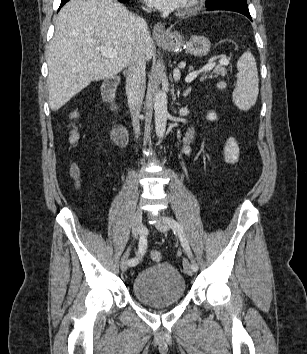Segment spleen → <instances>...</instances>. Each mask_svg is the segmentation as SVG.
<instances>
[{
  "mask_svg": "<svg viewBox=\"0 0 307 354\" xmlns=\"http://www.w3.org/2000/svg\"><path fill=\"white\" fill-rule=\"evenodd\" d=\"M237 70V82L232 99L240 110L247 111L255 105L259 93L256 61L249 49L237 61ZM225 87V83L218 84V88Z\"/></svg>",
  "mask_w": 307,
  "mask_h": 354,
  "instance_id": "spleen-1",
  "label": "spleen"
}]
</instances>
